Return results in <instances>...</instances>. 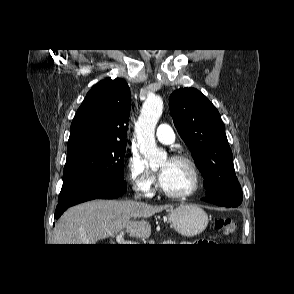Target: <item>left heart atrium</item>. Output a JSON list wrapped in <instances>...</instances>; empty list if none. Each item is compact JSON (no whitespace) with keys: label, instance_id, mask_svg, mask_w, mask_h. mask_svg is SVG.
<instances>
[{"label":"left heart atrium","instance_id":"left-heart-atrium-1","mask_svg":"<svg viewBox=\"0 0 294 294\" xmlns=\"http://www.w3.org/2000/svg\"><path fill=\"white\" fill-rule=\"evenodd\" d=\"M159 178H160V181H161V179L163 178V172L159 173Z\"/></svg>","mask_w":294,"mask_h":294}]
</instances>
